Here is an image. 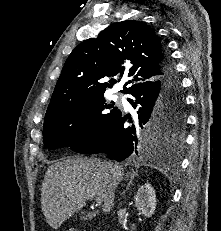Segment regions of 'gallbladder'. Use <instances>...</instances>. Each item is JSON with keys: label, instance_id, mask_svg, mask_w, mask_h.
<instances>
[{"label": "gallbladder", "instance_id": "gallbladder-1", "mask_svg": "<svg viewBox=\"0 0 221 231\" xmlns=\"http://www.w3.org/2000/svg\"><path fill=\"white\" fill-rule=\"evenodd\" d=\"M80 218H81L82 220H88V219H91V218H92V214H91V213H88V214H86V213H81Z\"/></svg>", "mask_w": 221, "mask_h": 231}]
</instances>
